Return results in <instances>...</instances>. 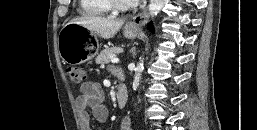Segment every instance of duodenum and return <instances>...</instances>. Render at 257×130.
Masks as SVG:
<instances>
[{"label": "duodenum", "mask_w": 257, "mask_h": 130, "mask_svg": "<svg viewBox=\"0 0 257 130\" xmlns=\"http://www.w3.org/2000/svg\"><path fill=\"white\" fill-rule=\"evenodd\" d=\"M128 100L127 88L124 85H120L117 91V103L120 108L125 107Z\"/></svg>", "instance_id": "obj_1"}]
</instances>
